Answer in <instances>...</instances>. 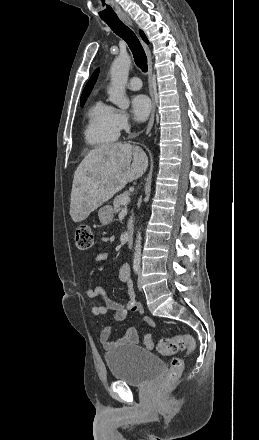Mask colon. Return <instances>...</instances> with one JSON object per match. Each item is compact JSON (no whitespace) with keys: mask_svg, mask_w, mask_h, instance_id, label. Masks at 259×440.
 I'll return each mask as SVG.
<instances>
[{"mask_svg":"<svg viewBox=\"0 0 259 440\" xmlns=\"http://www.w3.org/2000/svg\"><path fill=\"white\" fill-rule=\"evenodd\" d=\"M93 240L94 236L90 227L81 225L76 229L75 243L79 249L87 250L91 248ZM195 347V340L189 334H176L171 337H165L160 339L157 344V349L163 356H171L178 351H186L187 354H191ZM183 368L184 360L182 358H173L162 387H166L178 380Z\"/></svg>","mask_w":259,"mask_h":440,"instance_id":"colon-1","label":"colon"}]
</instances>
